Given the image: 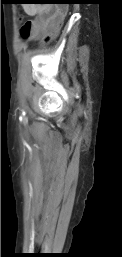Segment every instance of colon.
Masks as SVG:
<instances>
[{
    "label": "colon",
    "mask_w": 122,
    "mask_h": 257,
    "mask_svg": "<svg viewBox=\"0 0 122 257\" xmlns=\"http://www.w3.org/2000/svg\"><path fill=\"white\" fill-rule=\"evenodd\" d=\"M71 6L70 2H65L64 5H59L57 11L58 21H55L54 26H52V30H48V34H46V37L43 40V45L49 44L52 39H56L57 35H62V30L64 28V25L66 23L65 16L68 15V13L71 12V9L69 8ZM27 31L28 26L25 24L22 27V36L24 38H27Z\"/></svg>",
    "instance_id": "5ec220e1"
}]
</instances>
